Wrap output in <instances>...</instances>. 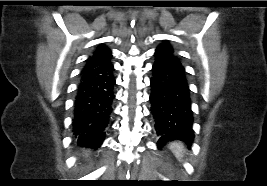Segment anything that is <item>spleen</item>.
Wrapping results in <instances>:
<instances>
[{
    "label": "spleen",
    "instance_id": "spleen-1",
    "mask_svg": "<svg viewBox=\"0 0 267 186\" xmlns=\"http://www.w3.org/2000/svg\"><path fill=\"white\" fill-rule=\"evenodd\" d=\"M169 147L178 160H181L183 158L185 149L182 143L173 142L169 145Z\"/></svg>",
    "mask_w": 267,
    "mask_h": 186
}]
</instances>
